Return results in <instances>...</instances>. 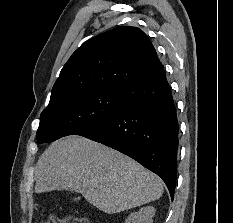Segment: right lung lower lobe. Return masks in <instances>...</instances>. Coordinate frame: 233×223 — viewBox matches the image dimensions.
<instances>
[{
  "label": "right lung lower lobe",
  "mask_w": 233,
  "mask_h": 223,
  "mask_svg": "<svg viewBox=\"0 0 233 223\" xmlns=\"http://www.w3.org/2000/svg\"><path fill=\"white\" fill-rule=\"evenodd\" d=\"M121 108L83 131L135 159L166 183L173 199L177 175L178 121L164 69L121 89Z\"/></svg>",
  "instance_id": "obj_1"
}]
</instances>
